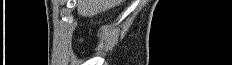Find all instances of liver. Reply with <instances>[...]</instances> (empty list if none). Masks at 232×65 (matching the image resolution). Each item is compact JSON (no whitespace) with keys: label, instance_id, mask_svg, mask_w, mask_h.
Returning <instances> with one entry per match:
<instances>
[{"label":"liver","instance_id":"1","mask_svg":"<svg viewBox=\"0 0 232 65\" xmlns=\"http://www.w3.org/2000/svg\"><path fill=\"white\" fill-rule=\"evenodd\" d=\"M78 14L90 17L121 4L124 0H76Z\"/></svg>","mask_w":232,"mask_h":65}]
</instances>
